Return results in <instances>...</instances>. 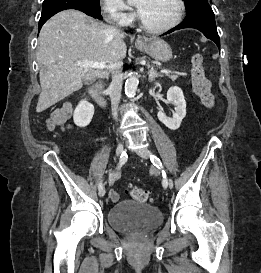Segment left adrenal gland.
Instances as JSON below:
<instances>
[{"mask_svg":"<svg viewBox=\"0 0 261 273\" xmlns=\"http://www.w3.org/2000/svg\"><path fill=\"white\" fill-rule=\"evenodd\" d=\"M149 82H153L155 80V78L157 77H163V75L159 74L154 67H151V69L149 70Z\"/></svg>","mask_w":261,"mask_h":273,"instance_id":"1","label":"left adrenal gland"}]
</instances>
